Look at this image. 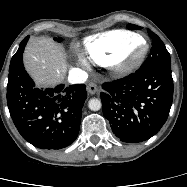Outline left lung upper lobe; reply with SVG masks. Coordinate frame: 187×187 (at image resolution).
<instances>
[{
  "mask_svg": "<svg viewBox=\"0 0 187 187\" xmlns=\"http://www.w3.org/2000/svg\"><path fill=\"white\" fill-rule=\"evenodd\" d=\"M130 29H141V27L129 24L127 25ZM148 34L152 39V48L146 61L141 65L140 68H154L161 66H171L170 54L167 51L162 40L151 30L148 29Z\"/></svg>",
  "mask_w": 187,
  "mask_h": 187,
  "instance_id": "left-lung-upper-lobe-1",
  "label": "left lung upper lobe"
}]
</instances>
